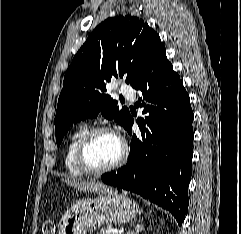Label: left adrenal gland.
<instances>
[{"instance_id": "a2214340", "label": "left adrenal gland", "mask_w": 241, "mask_h": 234, "mask_svg": "<svg viewBox=\"0 0 241 234\" xmlns=\"http://www.w3.org/2000/svg\"><path fill=\"white\" fill-rule=\"evenodd\" d=\"M143 229V225L137 224L134 229H129L126 234H139Z\"/></svg>"}]
</instances>
